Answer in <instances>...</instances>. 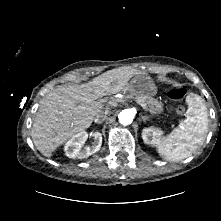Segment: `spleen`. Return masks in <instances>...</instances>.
<instances>
[{
	"instance_id": "1",
	"label": "spleen",
	"mask_w": 221,
	"mask_h": 221,
	"mask_svg": "<svg viewBox=\"0 0 221 221\" xmlns=\"http://www.w3.org/2000/svg\"><path fill=\"white\" fill-rule=\"evenodd\" d=\"M186 103V119L157 146L159 155L167 161H179L191 156L204 143L207 135L208 113L203 99L190 93Z\"/></svg>"
}]
</instances>
